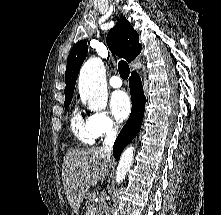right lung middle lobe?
Segmentation results:
<instances>
[{
    "instance_id": "dd1d6c3e",
    "label": "right lung middle lobe",
    "mask_w": 221,
    "mask_h": 215,
    "mask_svg": "<svg viewBox=\"0 0 221 215\" xmlns=\"http://www.w3.org/2000/svg\"><path fill=\"white\" fill-rule=\"evenodd\" d=\"M70 103H71V99H70V100H66V101L64 102V107H65L66 109H68Z\"/></svg>"
}]
</instances>
